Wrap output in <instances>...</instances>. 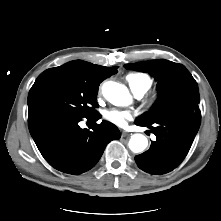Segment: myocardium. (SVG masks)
<instances>
[{"label": "myocardium", "instance_id": "1", "mask_svg": "<svg viewBox=\"0 0 221 221\" xmlns=\"http://www.w3.org/2000/svg\"><path fill=\"white\" fill-rule=\"evenodd\" d=\"M156 99H157V95H156V94H151V95H149V96L145 99V101H144L145 106H146L147 108L152 107L153 104L155 103Z\"/></svg>", "mask_w": 221, "mask_h": 221}]
</instances>
